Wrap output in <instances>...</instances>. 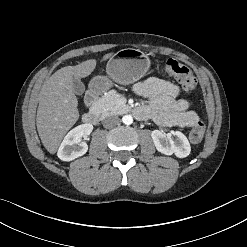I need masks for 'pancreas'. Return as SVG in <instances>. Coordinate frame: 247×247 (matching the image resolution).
I'll list each match as a JSON object with an SVG mask.
<instances>
[{
  "instance_id": "obj_1",
  "label": "pancreas",
  "mask_w": 247,
  "mask_h": 247,
  "mask_svg": "<svg viewBox=\"0 0 247 247\" xmlns=\"http://www.w3.org/2000/svg\"><path fill=\"white\" fill-rule=\"evenodd\" d=\"M124 108L125 105L118 104L116 92L113 90L107 92L95 102V110L102 116L120 114Z\"/></svg>"
}]
</instances>
